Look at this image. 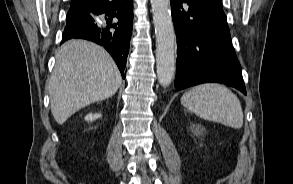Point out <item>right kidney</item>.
Returning <instances> with one entry per match:
<instances>
[{
	"mask_svg": "<svg viewBox=\"0 0 293 184\" xmlns=\"http://www.w3.org/2000/svg\"><path fill=\"white\" fill-rule=\"evenodd\" d=\"M100 117H101V114H92V113H90V114L86 115L85 120L88 121V122L89 121L92 122V121H94V120H96V119H98Z\"/></svg>",
	"mask_w": 293,
	"mask_h": 184,
	"instance_id": "obj_1",
	"label": "right kidney"
}]
</instances>
